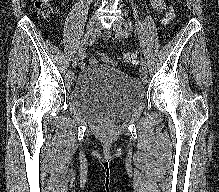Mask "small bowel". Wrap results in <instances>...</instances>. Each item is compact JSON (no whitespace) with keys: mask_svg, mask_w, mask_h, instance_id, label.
Here are the masks:
<instances>
[{"mask_svg":"<svg viewBox=\"0 0 219 192\" xmlns=\"http://www.w3.org/2000/svg\"><path fill=\"white\" fill-rule=\"evenodd\" d=\"M150 3L155 11H162L166 5L164 0H150Z\"/></svg>","mask_w":219,"mask_h":192,"instance_id":"1","label":"small bowel"}]
</instances>
